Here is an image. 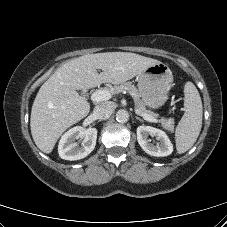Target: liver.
I'll use <instances>...</instances> for the list:
<instances>
[{"instance_id":"1","label":"liver","mask_w":227,"mask_h":227,"mask_svg":"<svg viewBox=\"0 0 227 227\" xmlns=\"http://www.w3.org/2000/svg\"><path fill=\"white\" fill-rule=\"evenodd\" d=\"M160 61L130 52L87 54L63 64L39 89L30 127L36 146L51 153L62 133L85 118L90 104L76 90L124 83ZM102 72L98 73L97 70Z\"/></svg>"}]
</instances>
